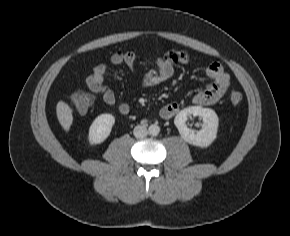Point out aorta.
Wrapping results in <instances>:
<instances>
[{
	"label": "aorta",
	"mask_w": 290,
	"mask_h": 236,
	"mask_svg": "<svg viewBox=\"0 0 290 236\" xmlns=\"http://www.w3.org/2000/svg\"><path fill=\"white\" fill-rule=\"evenodd\" d=\"M148 132H149L150 135H152V136H156V135L159 134V132H160V128H159L158 125H156V124H152V125H150L149 128H148Z\"/></svg>",
	"instance_id": "1"
}]
</instances>
